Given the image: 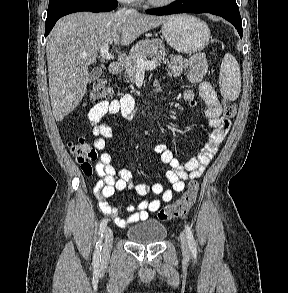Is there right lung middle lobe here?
<instances>
[{
    "mask_svg": "<svg viewBox=\"0 0 288 293\" xmlns=\"http://www.w3.org/2000/svg\"><path fill=\"white\" fill-rule=\"evenodd\" d=\"M79 1H91V2H96L100 4L117 3V0H49L47 13H50L64 5L79 2Z\"/></svg>",
    "mask_w": 288,
    "mask_h": 293,
    "instance_id": "obj_1",
    "label": "right lung middle lobe"
}]
</instances>
